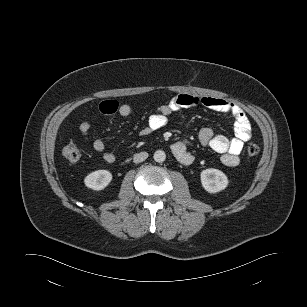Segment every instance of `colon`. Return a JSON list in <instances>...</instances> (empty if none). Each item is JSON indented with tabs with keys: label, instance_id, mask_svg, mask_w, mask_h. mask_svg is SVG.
I'll return each instance as SVG.
<instances>
[{
	"label": "colon",
	"instance_id": "5ec220e1",
	"mask_svg": "<svg viewBox=\"0 0 307 307\" xmlns=\"http://www.w3.org/2000/svg\"><path fill=\"white\" fill-rule=\"evenodd\" d=\"M259 151L260 148L255 143L248 144L246 148V154L249 157H255L259 153ZM63 155L68 161L76 162L80 159L81 152L79 147L75 143H70L63 149Z\"/></svg>",
	"mask_w": 307,
	"mask_h": 307
}]
</instances>
